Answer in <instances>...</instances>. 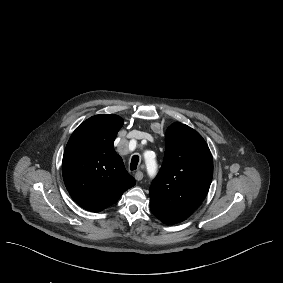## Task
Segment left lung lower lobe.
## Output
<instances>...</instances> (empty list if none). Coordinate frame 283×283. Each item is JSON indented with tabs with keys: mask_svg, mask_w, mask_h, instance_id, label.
<instances>
[{
	"mask_svg": "<svg viewBox=\"0 0 283 283\" xmlns=\"http://www.w3.org/2000/svg\"><path fill=\"white\" fill-rule=\"evenodd\" d=\"M150 210L159 220L169 225L179 223L192 214V211L167 207L151 201Z\"/></svg>",
	"mask_w": 283,
	"mask_h": 283,
	"instance_id": "obj_1",
	"label": "left lung lower lobe"
}]
</instances>
